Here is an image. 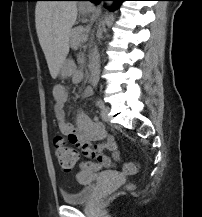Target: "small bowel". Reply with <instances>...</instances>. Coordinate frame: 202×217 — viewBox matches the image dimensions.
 <instances>
[{
    "label": "small bowel",
    "instance_id": "small-bowel-1",
    "mask_svg": "<svg viewBox=\"0 0 202 217\" xmlns=\"http://www.w3.org/2000/svg\"><path fill=\"white\" fill-rule=\"evenodd\" d=\"M82 79V70H76L72 75L73 83L77 84ZM92 92L93 86H89L84 90L83 96L88 97ZM68 94V88L65 86L57 85L53 89L55 118L61 133L67 135L72 144L79 146L85 156L96 158L106 168L111 169L114 162L105 156L103 152L109 150L112 152L114 160H119V152L114 137L106 133L97 118L90 119L82 111L77 112L75 124L68 121L64 108Z\"/></svg>",
    "mask_w": 202,
    "mask_h": 217
}]
</instances>
